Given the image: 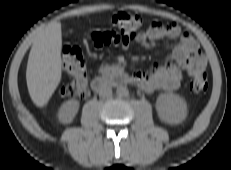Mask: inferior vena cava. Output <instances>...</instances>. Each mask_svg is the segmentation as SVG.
<instances>
[{
    "mask_svg": "<svg viewBox=\"0 0 231 170\" xmlns=\"http://www.w3.org/2000/svg\"><path fill=\"white\" fill-rule=\"evenodd\" d=\"M112 95V88L110 86H103L99 91V96L102 98H107Z\"/></svg>",
    "mask_w": 231,
    "mask_h": 170,
    "instance_id": "obj_1",
    "label": "inferior vena cava"
}]
</instances>
